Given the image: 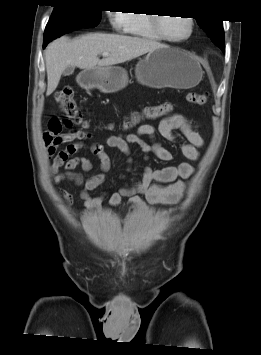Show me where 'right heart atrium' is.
Listing matches in <instances>:
<instances>
[{
  "mask_svg": "<svg viewBox=\"0 0 261 355\" xmlns=\"http://www.w3.org/2000/svg\"><path fill=\"white\" fill-rule=\"evenodd\" d=\"M109 20L116 31H127L129 19L125 11L109 12Z\"/></svg>",
  "mask_w": 261,
  "mask_h": 355,
  "instance_id": "d8ad5b80",
  "label": "right heart atrium"
}]
</instances>
